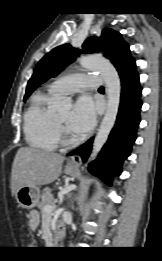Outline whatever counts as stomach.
Instances as JSON below:
<instances>
[{"instance_id":"1","label":"stomach","mask_w":162,"mask_h":261,"mask_svg":"<svg viewBox=\"0 0 162 261\" xmlns=\"http://www.w3.org/2000/svg\"><path fill=\"white\" fill-rule=\"evenodd\" d=\"M65 173L70 176H77L79 170L77 167L67 165ZM15 198L22 208L32 209L39 203L40 189L37 186H22L16 191Z\"/></svg>"}]
</instances>
